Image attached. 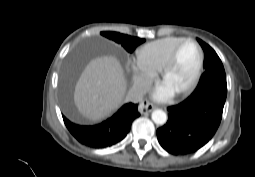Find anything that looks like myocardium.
I'll list each match as a JSON object with an SVG mask.
<instances>
[{
	"label": "myocardium",
	"instance_id": "f54148a6",
	"mask_svg": "<svg viewBox=\"0 0 255 177\" xmlns=\"http://www.w3.org/2000/svg\"><path fill=\"white\" fill-rule=\"evenodd\" d=\"M187 43H191L196 47V49L199 53V62H198V66H197L196 72H195L192 80L186 86H184L180 90L176 91L177 94H180V95L187 94V93L191 92L200 81V78H201V75L203 72V67H204V53H203L201 46L195 40H193L191 38H185L183 41H181L174 48L171 56L169 57V59L167 60V62L161 69V78H162V80H165V78L167 77L169 72L175 66L177 58H178V54H179L181 48Z\"/></svg>",
	"mask_w": 255,
	"mask_h": 177
}]
</instances>
